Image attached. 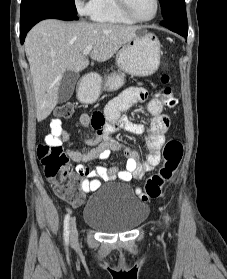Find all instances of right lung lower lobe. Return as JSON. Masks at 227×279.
I'll list each match as a JSON object with an SVG mask.
<instances>
[{
	"mask_svg": "<svg viewBox=\"0 0 227 279\" xmlns=\"http://www.w3.org/2000/svg\"><path fill=\"white\" fill-rule=\"evenodd\" d=\"M77 20V13L51 0H36L21 10L20 41L24 43L28 31L44 19Z\"/></svg>",
	"mask_w": 227,
	"mask_h": 279,
	"instance_id": "obj_1",
	"label": "right lung lower lobe"
}]
</instances>
